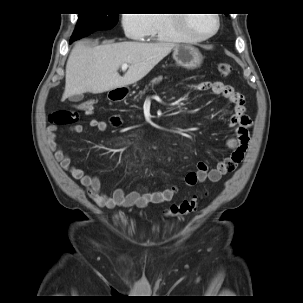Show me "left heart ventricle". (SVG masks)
Listing matches in <instances>:
<instances>
[{"label":"left heart ventricle","instance_id":"b2bd125f","mask_svg":"<svg viewBox=\"0 0 303 303\" xmlns=\"http://www.w3.org/2000/svg\"><path fill=\"white\" fill-rule=\"evenodd\" d=\"M189 18V29L195 34H207L215 27L211 14H190Z\"/></svg>","mask_w":303,"mask_h":303}]
</instances>
